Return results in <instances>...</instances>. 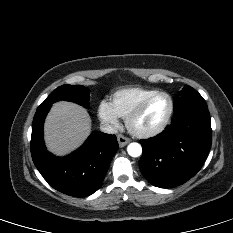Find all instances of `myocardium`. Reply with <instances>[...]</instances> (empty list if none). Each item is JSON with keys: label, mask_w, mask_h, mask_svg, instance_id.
Here are the masks:
<instances>
[{"label": "myocardium", "mask_w": 233, "mask_h": 233, "mask_svg": "<svg viewBox=\"0 0 233 233\" xmlns=\"http://www.w3.org/2000/svg\"><path fill=\"white\" fill-rule=\"evenodd\" d=\"M159 95L166 96L169 99V104H170L168 114H167L166 118L164 119V121L157 128H155L153 130L139 131V130L135 129L133 126L134 120L143 112V110L148 105V103L152 99H154L156 96H159ZM173 113H174V100H173L172 96L165 91H156V92L150 94L149 96L145 97L128 114V116L125 118V123H126L128 130L130 131V133L133 134L134 136L139 137V138H151V137L159 135L167 128V126L169 125V123L172 119Z\"/></svg>", "instance_id": "obj_1"}]
</instances>
